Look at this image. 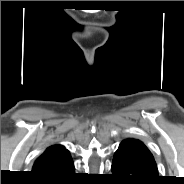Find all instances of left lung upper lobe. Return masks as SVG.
I'll use <instances>...</instances> for the list:
<instances>
[{
  "label": "left lung upper lobe",
  "instance_id": "1",
  "mask_svg": "<svg viewBox=\"0 0 184 184\" xmlns=\"http://www.w3.org/2000/svg\"><path fill=\"white\" fill-rule=\"evenodd\" d=\"M134 140H136V139H134ZM137 142H139V143H141V144H143L141 141H139V140H136Z\"/></svg>",
  "mask_w": 184,
  "mask_h": 184
}]
</instances>
